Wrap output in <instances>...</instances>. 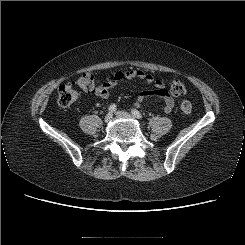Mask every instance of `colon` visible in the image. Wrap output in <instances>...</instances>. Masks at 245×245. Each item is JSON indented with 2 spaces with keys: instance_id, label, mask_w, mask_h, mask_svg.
<instances>
[{
  "instance_id": "5ec220e1",
  "label": "colon",
  "mask_w": 245,
  "mask_h": 245,
  "mask_svg": "<svg viewBox=\"0 0 245 245\" xmlns=\"http://www.w3.org/2000/svg\"><path fill=\"white\" fill-rule=\"evenodd\" d=\"M75 87L86 92L97 90L94 76L91 73H83L75 81L59 87L57 99L60 106L68 107L78 99V92ZM169 92L174 97L183 96L186 93V86L181 81H173L170 85ZM180 109L184 114L189 115L192 112V104L185 100L181 103Z\"/></svg>"
}]
</instances>
